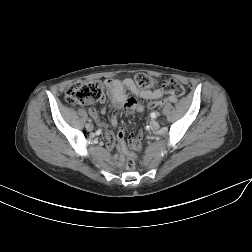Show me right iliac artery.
<instances>
[{
  "instance_id": "82829eb1",
  "label": "right iliac artery",
  "mask_w": 252,
  "mask_h": 252,
  "mask_svg": "<svg viewBox=\"0 0 252 252\" xmlns=\"http://www.w3.org/2000/svg\"><path fill=\"white\" fill-rule=\"evenodd\" d=\"M103 133V130L102 129H98L97 132H96V135H101Z\"/></svg>"
}]
</instances>
